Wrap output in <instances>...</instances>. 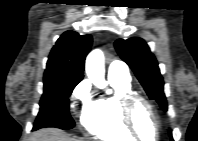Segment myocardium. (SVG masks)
Masks as SVG:
<instances>
[{"label": "myocardium", "mask_w": 198, "mask_h": 141, "mask_svg": "<svg viewBox=\"0 0 198 141\" xmlns=\"http://www.w3.org/2000/svg\"><path fill=\"white\" fill-rule=\"evenodd\" d=\"M118 103H119L121 120L125 128L135 139H138V140H143V139L140 137L135 127L134 112L138 104L140 103L144 104L149 109L153 117L154 123L156 125V137L154 138V141L159 139L160 133H161L160 118H159V115L155 106L148 98L138 93L130 92V93L122 95L119 98Z\"/></svg>", "instance_id": "f54148a6"}]
</instances>
